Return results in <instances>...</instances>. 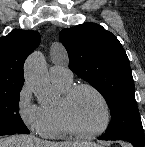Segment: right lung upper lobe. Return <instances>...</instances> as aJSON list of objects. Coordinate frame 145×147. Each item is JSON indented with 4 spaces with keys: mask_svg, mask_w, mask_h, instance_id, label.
Listing matches in <instances>:
<instances>
[{
    "mask_svg": "<svg viewBox=\"0 0 145 147\" xmlns=\"http://www.w3.org/2000/svg\"><path fill=\"white\" fill-rule=\"evenodd\" d=\"M40 44V34L15 29L0 37V91L22 87L23 65L27 56Z\"/></svg>",
    "mask_w": 145,
    "mask_h": 147,
    "instance_id": "right-lung-upper-lobe-1",
    "label": "right lung upper lobe"
}]
</instances>
